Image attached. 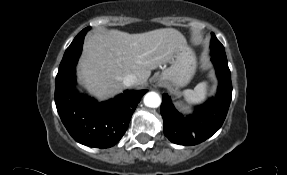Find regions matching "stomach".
Wrapping results in <instances>:
<instances>
[{"label": "stomach", "mask_w": 287, "mask_h": 175, "mask_svg": "<svg viewBox=\"0 0 287 175\" xmlns=\"http://www.w3.org/2000/svg\"><path fill=\"white\" fill-rule=\"evenodd\" d=\"M170 64L159 75V82L174 88L184 87L190 82L196 71L195 53L186 44H182L178 47Z\"/></svg>", "instance_id": "0dacf381"}]
</instances>
